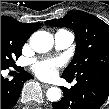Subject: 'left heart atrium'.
I'll use <instances>...</instances> for the list:
<instances>
[{
	"label": "left heart atrium",
	"mask_w": 109,
	"mask_h": 109,
	"mask_svg": "<svg viewBox=\"0 0 109 109\" xmlns=\"http://www.w3.org/2000/svg\"><path fill=\"white\" fill-rule=\"evenodd\" d=\"M63 65L61 59L35 61L32 65L34 72L42 79L49 80L58 73V68Z\"/></svg>",
	"instance_id": "39dd6f15"
}]
</instances>
